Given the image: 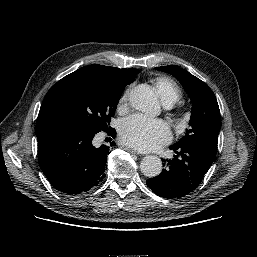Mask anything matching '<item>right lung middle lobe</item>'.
Returning <instances> with one entry per match:
<instances>
[{"label": "right lung middle lobe", "instance_id": "dd1d6c3e", "mask_svg": "<svg viewBox=\"0 0 257 257\" xmlns=\"http://www.w3.org/2000/svg\"><path fill=\"white\" fill-rule=\"evenodd\" d=\"M137 70L125 69L120 79L95 72H73L47 93L45 114L54 127L68 126L98 133L107 131L125 86L134 81Z\"/></svg>", "mask_w": 257, "mask_h": 257}]
</instances>
